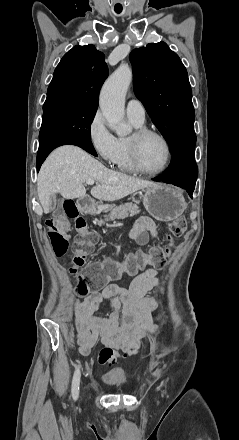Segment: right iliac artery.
<instances>
[{"instance_id": "1", "label": "right iliac artery", "mask_w": 239, "mask_h": 440, "mask_svg": "<svg viewBox=\"0 0 239 440\" xmlns=\"http://www.w3.org/2000/svg\"><path fill=\"white\" fill-rule=\"evenodd\" d=\"M79 383H80V370L76 369L72 380V396L74 400H77L79 395Z\"/></svg>"}]
</instances>
